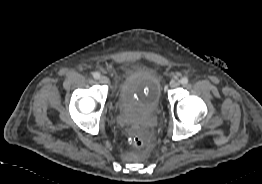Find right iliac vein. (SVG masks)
I'll use <instances>...</instances> for the list:
<instances>
[{
	"mask_svg": "<svg viewBox=\"0 0 262 184\" xmlns=\"http://www.w3.org/2000/svg\"><path fill=\"white\" fill-rule=\"evenodd\" d=\"M100 83L102 84H110V80L108 77L106 76H101L100 79H99Z\"/></svg>",
	"mask_w": 262,
	"mask_h": 184,
	"instance_id": "right-iliac-vein-1",
	"label": "right iliac vein"
}]
</instances>
